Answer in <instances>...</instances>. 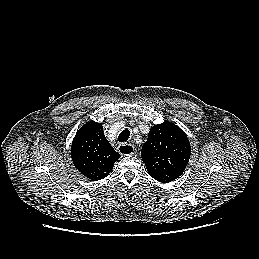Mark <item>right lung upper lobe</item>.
Here are the masks:
<instances>
[{"label":"right lung upper lobe","instance_id":"1","mask_svg":"<svg viewBox=\"0 0 259 259\" xmlns=\"http://www.w3.org/2000/svg\"><path fill=\"white\" fill-rule=\"evenodd\" d=\"M71 157L74 166L87 178L97 181L109 175L120 158L106 139L100 123L83 125L72 141Z\"/></svg>","mask_w":259,"mask_h":259}]
</instances>
